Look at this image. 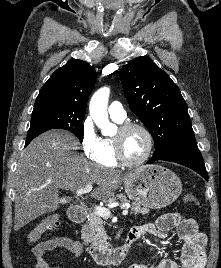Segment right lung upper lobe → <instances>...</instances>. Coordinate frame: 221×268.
I'll return each instance as SVG.
<instances>
[{"label": "right lung upper lobe", "mask_w": 221, "mask_h": 268, "mask_svg": "<svg viewBox=\"0 0 221 268\" xmlns=\"http://www.w3.org/2000/svg\"><path fill=\"white\" fill-rule=\"evenodd\" d=\"M97 73L93 66L71 59L57 69L41 88L34 110L61 109L85 114Z\"/></svg>", "instance_id": "right-lung-upper-lobe-1"}]
</instances>
